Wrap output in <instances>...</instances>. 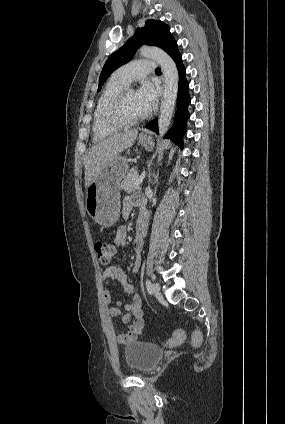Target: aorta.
<instances>
[{
  "instance_id": "762f6f07",
  "label": "aorta",
  "mask_w": 285,
  "mask_h": 424,
  "mask_svg": "<svg viewBox=\"0 0 285 424\" xmlns=\"http://www.w3.org/2000/svg\"><path fill=\"white\" fill-rule=\"evenodd\" d=\"M143 57L154 59L161 66L164 76V94L160 107L158 129L160 136L167 132L178 92V71L173 59L162 49L143 46L139 50Z\"/></svg>"
}]
</instances>
